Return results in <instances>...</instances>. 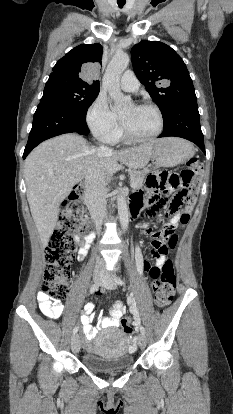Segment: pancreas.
Here are the masks:
<instances>
[{"instance_id":"cf45deb5","label":"pancreas","mask_w":233,"mask_h":414,"mask_svg":"<svg viewBox=\"0 0 233 414\" xmlns=\"http://www.w3.org/2000/svg\"><path fill=\"white\" fill-rule=\"evenodd\" d=\"M146 173H147V170L130 172L131 183L134 184V187H133L134 189H138L143 186V181H144Z\"/></svg>"}]
</instances>
